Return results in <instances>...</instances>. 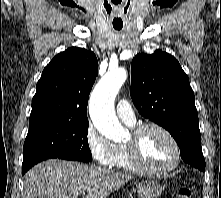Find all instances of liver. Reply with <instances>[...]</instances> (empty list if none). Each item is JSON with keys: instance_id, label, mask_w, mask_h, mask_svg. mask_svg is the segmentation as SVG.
Masks as SVG:
<instances>
[{"instance_id": "liver-1", "label": "liver", "mask_w": 221, "mask_h": 198, "mask_svg": "<svg viewBox=\"0 0 221 198\" xmlns=\"http://www.w3.org/2000/svg\"><path fill=\"white\" fill-rule=\"evenodd\" d=\"M131 179L94 165L50 159L25 174L24 198H78L85 191V198H106Z\"/></svg>"}]
</instances>
